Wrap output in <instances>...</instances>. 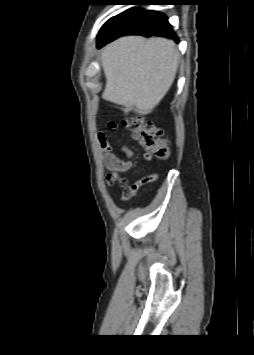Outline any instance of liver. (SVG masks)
<instances>
[{
	"label": "liver",
	"instance_id": "liver-1",
	"mask_svg": "<svg viewBox=\"0 0 254 355\" xmlns=\"http://www.w3.org/2000/svg\"><path fill=\"white\" fill-rule=\"evenodd\" d=\"M106 78L102 97L124 106V112L136 109L149 114L174 82L179 53L173 41L165 38L122 37L101 51Z\"/></svg>",
	"mask_w": 254,
	"mask_h": 355
}]
</instances>
